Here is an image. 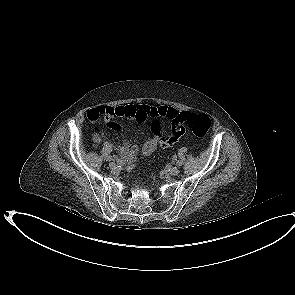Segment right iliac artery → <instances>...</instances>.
I'll return each instance as SVG.
<instances>
[{
    "mask_svg": "<svg viewBox=\"0 0 295 295\" xmlns=\"http://www.w3.org/2000/svg\"><path fill=\"white\" fill-rule=\"evenodd\" d=\"M108 160L111 161V162L114 161V159L112 157H109Z\"/></svg>",
    "mask_w": 295,
    "mask_h": 295,
    "instance_id": "1",
    "label": "right iliac artery"
}]
</instances>
